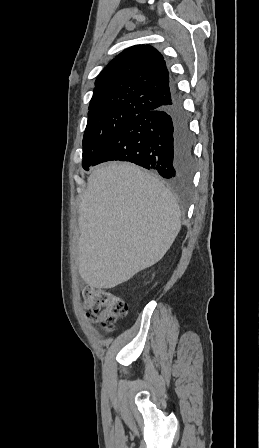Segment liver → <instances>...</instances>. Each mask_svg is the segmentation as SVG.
I'll return each instance as SVG.
<instances>
[{"label":"liver","instance_id":"1","mask_svg":"<svg viewBox=\"0 0 259 448\" xmlns=\"http://www.w3.org/2000/svg\"><path fill=\"white\" fill-rule=\"evenodd\" d=\"M78 216V272L91 288H115L157 264L181 228L170 190L129 162L94 170Z\"/></svg>","mask_w":259,"mask_h":448}]
</instances>
